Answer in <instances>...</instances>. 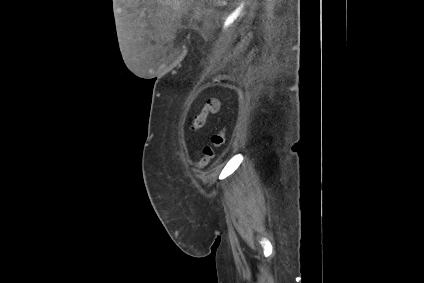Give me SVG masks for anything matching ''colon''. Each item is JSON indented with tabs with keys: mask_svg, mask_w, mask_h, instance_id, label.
<instances>
[{
	"mask_svg": "<svg viewBox=\"0 0 424 283\" xmlns=\"http://www.w3.org/2000/svg\"><path fill=\"white\" fill-rule=\"evenodd\" d=\"M220 109V101L218 99H209L204 105L202 111L194 116L190 123V129L197 131L201 129L209 115L216 114ZM225 142L224 130L215 132L211 137V143L203 148V157L195 163L196 168L202 169L206 167L215 155V150L221 147Z\"/></svg>",
	"mask_w": 424,
	"mask_h": 283,
	"instance_id": "obj_1",
	"label": "colon"
}]
</instances>
